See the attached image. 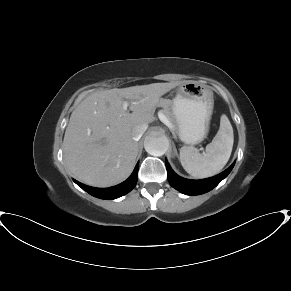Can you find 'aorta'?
Wrapping results in <instances>:
<instances>
[{
	"label": "aorta",
	"instance_id": "aorta-1",
	"mask_svg": "<svg viewBox=\"0 0 291 291\" xmlns=\"http://www.w3.org/2000/svg\"><path fill=\"white\" fill-rule=\"evenodd\" d=\"M145 150L154 156H161L169 148V140L164 135L151 134L144 141Z\"/></svg>",
	"mask_w": 291,
	"mask_h": 291
}]
</instances>
